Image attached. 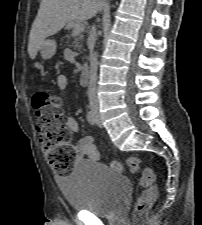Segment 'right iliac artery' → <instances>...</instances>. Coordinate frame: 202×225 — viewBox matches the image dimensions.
<instances>
[{"instance_id":"obj_1","label":"right iliac artery","mask_w":202,"mask_h":225,"mask_svg":"<svg viewBox=\"0 0 202 225\" xmlns=\"http://www.w3.org/2000/svg\"><path fill=\"white\" fill-rule=\"evenodd\" d=\"M87 121L90 125H95L96 123V118L95 115L92 111H88L87 115H86Z\"/></svg>"}]
</instances>
